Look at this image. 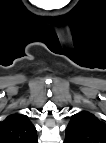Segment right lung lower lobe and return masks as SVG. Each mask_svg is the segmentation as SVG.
<instances>
[{"label":"right lung lower lobe","instance_id":"98d812e1","mask_svg":"<svg viewBox=\"0 0 106 143\" xmlns=\"http://www.w3.org/2000/svg\"><path fill=\"white\" fill-rule=\"evenodd\" d=\"M33 143H38V140L36 139Z\"/></svg>","mask_w":106,"mask_h":143}]
</instances>
